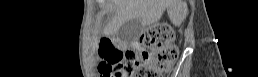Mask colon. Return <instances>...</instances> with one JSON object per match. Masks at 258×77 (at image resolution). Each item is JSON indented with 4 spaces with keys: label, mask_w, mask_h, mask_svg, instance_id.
I'll return each mask as SVG.
<instances>
[{
    "label": "colon",
    "mask_w": 258,
    "mask_h": 77,
    "mask_svg": "<svg viewBox=\"0 0 258 77\" xmlns=\"http://www.w3.org/2000/svg\"><path fill=\"white\" fill-rule=\"evenodd\" d=\"M103 62L99 71L107 77H162L178 55L174 34L166 24H156L128 48L100 44Z\"/></svg>",
    "instance_id": "colon-1"
}]
</instances>
